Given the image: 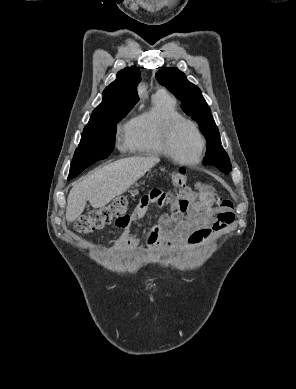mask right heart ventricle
<instances>
[{
	"mask_svg": "<svg viewBox=\"0 0 296 389\" xmlns=\"http://www.w3.org/2000/svg\"><path fill=\"white\" fill-rule=\"evenodd\" d=\"M180 116L176 100L165 91L153 96L150 110L134 116L126 125V144L130 151L149 156H164L161 132L164 123Z\"/></svg>",
	"mask_w": 296,
	"mask_h": 389,
	"instance_id": "1",
	"label": "right heart ventricle"
}]
</instances>
